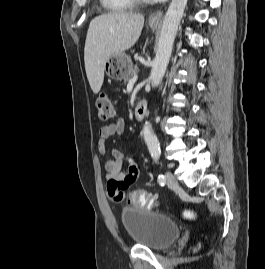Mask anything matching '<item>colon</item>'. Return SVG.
<instances>
[{
    "label": "colon",
    "instance_id": "colon-1",
    "mask_svg": "<svg viewBox=\"0 0 265 269\" xmlns=\"http://www.w3.org/2000/svg\"><path fill=\"white\" fill-rule=\"evenodd\" d=\"M98 117L102 122H109L116 116V108L106 94H101L96 101ZM130 201L140 207H150L153 203L152 196L142 189L132 190L129 194ZM188 215H192L190 211Z\"/></svg>",
    "mask_w": 265,
    "mask_h": 269
}]
</instances>
